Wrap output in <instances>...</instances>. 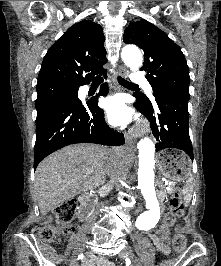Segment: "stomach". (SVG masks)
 <instances>
[{
  "mask_svg": "<svg viewBox=\"0 0 221 266\" xmlns=\"http://www.w3.org/2000/svg\"><path fill=\"white\" fill-rule=\"evenodd\" d=\"M158 167L163 176L174 182H182L191 173V164L184 153L176 149L158 154Z\"/></svg>",
  "mask_w": 221,
  "mask_h": 266,
  "instance_id": "obj_1",
  "label": "stomach"
}]
</instances>
